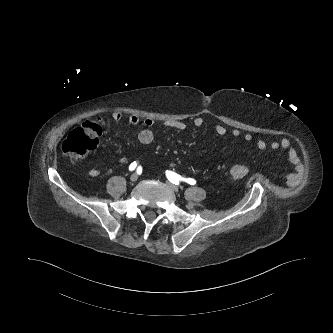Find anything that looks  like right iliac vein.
Segmentation results:
<instances>
[{"instance_id":"63e3f726","label":"right iliac vein","mask_w":333,"mask_h":333,"mask_svg":"<svg viewBox=\"0 0 333 333\" xmlns=\"http://www.w3.org/2000/svg\"><path fill=\"white\" fill-rule=\"evenodd\" d=\"M137 179H138V175H137L136 173H133V174L131 175V177H130V180H131L132 182H136Z\"/></svg>"}]
</instances>
